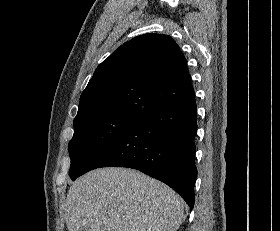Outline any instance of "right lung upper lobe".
Segmentation results:
<instances>
[{"mask_svg": "<svg viewBox=\"0 0 280 231\" xmlns=\"http://www.w3.org/2000/svg\"><path fill=\"white\" fill-rule=\"evenodd\" d=\"M186 59L173 38L144 34L124 43L95 70L77 116L143 119L195 97Z\"/></svg>", "mask_w": 280, "mask_h": 231, "instance_id": "right-lung-upper-lobe-1", "label": "right lung upper lobe"}]
</instances>
